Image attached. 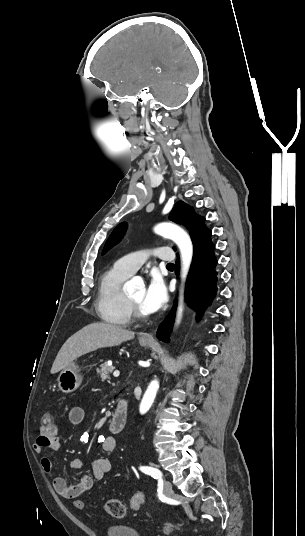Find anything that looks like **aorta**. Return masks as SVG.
Returning a JSON list of instances; mask_svg holds the SVG:
<instances>
[{"label": "aorta", "mask_w": 305, "mask_h": 536, "mask_svg": "<svg viewBox=\"0 0 305 536\" xmlns=\"http://www.w3.org/2000/svg\"><path fill=\"white\" fill-rule=\"evenodd\" d=\"M154 232L158 235L167 237L171 239L172 241H174L180 251L182 287H181L179 306H178L177 317H176V323L179 324L183 315V300H184L183 288H184V283H185V280H186V277H187V274L189 272V268L192 262L193 244L187 232L184 231L179 226L172 224V223H167V222L160 223L154 227ZM136 284H137V280L132 279L126 284V286L128 289H130V288L135 287ZM158 389H159V381L157 379L151 381L140 403L139 411L141 414H145L150 409V407L152 406L155 400Z\"/></svg>", "instance_id": "1"}]
</instances>
